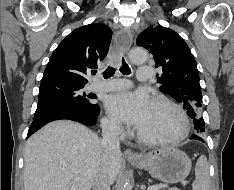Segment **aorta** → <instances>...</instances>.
<instances>
[{"label":"aorta","instance_id":"1","mask_svg":"<svg viewBox=\"0 0 234 190\" xmlns=\"http://www.w3.org/2000/svg\"><path fill=\"white\" fill-rule=\"evenodd\" d=\"M129 57L131 62L135 64L143 63L147 60L148 53L145 49L143 48H133L130 53ZM121 190H128V187L124 185Z\"/></svg>","mask_w":234,"mask_h":190}]
</instances>
